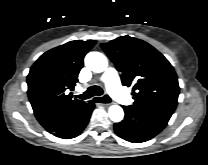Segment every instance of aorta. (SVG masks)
Segmentation results:
<instances>
[{
  "mask_svg": "<svg viewBox=\"0 0 208 165\" xmlns=\"http://www.w3.org/2000/svg\"><path fill=\"white\" fill-rule=\"evenodd\" d=\"M85 65L93 72H104L108 67V60L105 55L100 52H89L85 59ZM110 119L114 122L123 120L124 111L119 105H111L108 110Z\"/></svg>",
  "mask_w": 208,
  "mask_h": 165,
  "instance_id": "762f6f07",
  "label": "aorta"
}]
</instances>
